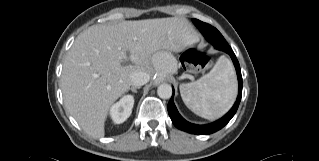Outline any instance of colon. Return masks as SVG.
<instances>
[{"label": "colon", "instance_id": "1", "mask_svg": "<svg viewBox=\"0 0 319 161\" xmlns=\"http://www.w3.org/2000/svg\"><path fill=\"white\" fill-rule=\"evenodd\" d=\"M182 66L189 73L198 72L209 63V57L195 47L186 49L180 56Z\"/></svg>", "mask_w": 319, "mask_h": 161}]
</instances>
